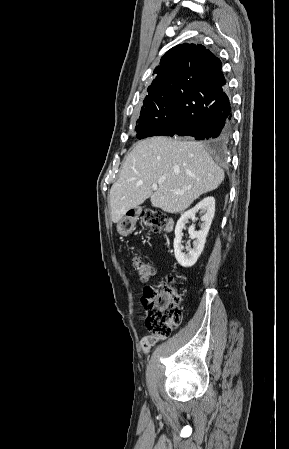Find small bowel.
<instances>
[{
  "mask_svg": "<svg viewBox=\"0 0 289 449\" xmlns=\"http://www.w3.org/2000/svg\"><path fill=\"white\" fill-rule=\"evenodd\" d=\"M158 339L159 338L155 337V336H150V335L144 336L140 341L142 350L144 352H147L151 348V346L154 345L158 341Z\"/></svg>",
  "mask_w": 289,
  "mask_h": 449,
  "instance_id": "small-bowel-1",
  "label": "small bowel"
}]
</instances>
